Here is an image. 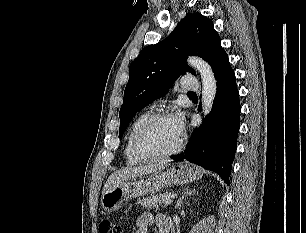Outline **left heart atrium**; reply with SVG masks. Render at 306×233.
Instances as JSON below:
<instances>
[{"instance_id":"obj_1","label":"left heart atrium","mask_w":306,"mask_h":233,"mask_svg":"<svg viewBox=\"0 0 306 233\" xmlns=\"http://www.w3.org/2000/svg\"><path fill=\"white\" fill-rule=\"evenodd\" d=\"M171 120L177 133L181 136L185 130V119L182 112H176L171 116Z\"/></svg>"}]
</instances>
